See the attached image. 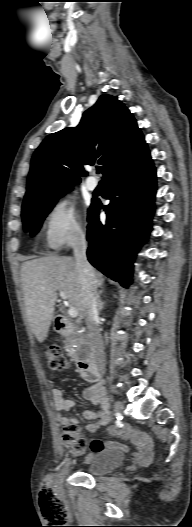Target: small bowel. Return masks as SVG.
Wrapping results in <instances>:
<instances>
[{
  "mask_svg": "<svg viewBox=\"0 0 192 527\" xmlns=\"http://www.w3.org/2000/svg\"><path fill=\"white\" fill-rule=\"evenodd\" d=\"M49 382L52 386V397L57 413V423L61 427H65L72 423L76 424L77 420L75 418L64 415V412L71 410L75 406V401L71 398L64 397L62 392L54 387V376H51ZM83 397L98 407V410L96 411L85 410L83 412L85 419L95 421L85 426L86 432L94 433L100 426L107 425L110 421V413L107 399L104 395V389L101 384H95L83 391ZM110 432L123 439L130 440L137 449L136 452L133 453L134 459L140 463L142 469H147L149 467V461L153 456V446L148 436L134 430L129 425H122V429L116 427L111 428ZM108 447L122 450L125 449L123 445L118 443L107 444L101 440H95L91 443V450L93 452L107 449Z\"/></svg>",
  "mask_w": 192,
  "mask_h": 527,
  "instance_id": "obj_1",
  "label": "small bowel"
}]
</instances>
